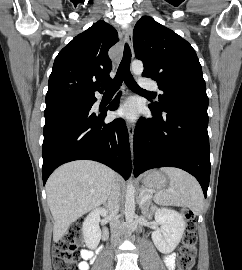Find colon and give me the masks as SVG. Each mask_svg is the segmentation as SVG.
<instances>
[{
	"label": "colon",
	"mask_w": 242,
	"mask_h": 270,
	"mask_svg": "<svg viewBox=\"0 0 242 270\" xmlns=\"http://www.w3.org/2000/svg\"><path fill=\"white\" fill-rule=\"evenodd\" d=\"M187 220L186 231L178 257V270H191L196 255L197 234L191 211H184ZM83 236V225L72 224L62 238L56 243L53 256L54 270H77L79 254L77 244Z\"/></svg>",
	"instance_id": "colon-1"
}]
</instances>
